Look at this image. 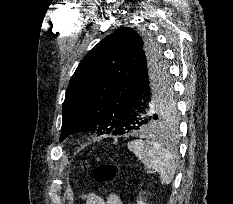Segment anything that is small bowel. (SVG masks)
<instances>
[{
  "label": "small bowel",
  "instance_id": "obj_1",
  "mask_svg": "<svg viewBox=\"0 0 233 204\" xmlns=\"http://www.w3.org/2000/svg\"><path fill=\"white\" fill-rule=\"evenodd\" d=\"M86 204H123L120 197L114 193L109 194L106 199L95 195L88 194L85 196Z\"/></svg>",
  "mask_w": 233,
  "mask_h": 204
}]
</instances>
